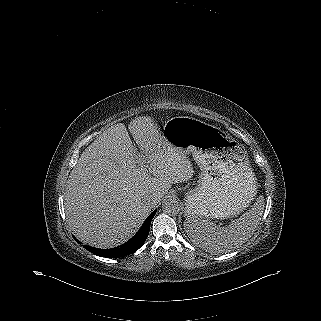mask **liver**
I'll return each mask as SVG.
<instances>
[{
  "mask_svg": "<svg viewBox=\"0 0 321 321\" xmlns=\"http://www.w3.org/2000/svg\"><path fill=\"white\" fill-rule=\"evenodd\" d=\"M105 130L80 155L64 193L69 228L84 243L112 248L130 239L172 184L188 181L186 155L157 130L151 117ZM143 163V166H141ZM151 197L152 205L147 204Z\"/></svg>",
  "mask_w": 321,
  "mask_h": 321,
  "instance_id": "obj_1",
  "label": "liver"
}]
</instances>
